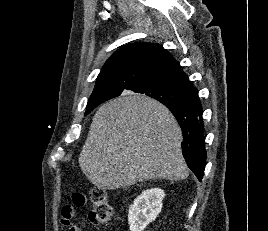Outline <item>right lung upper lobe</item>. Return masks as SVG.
I'll list each match as a JSON object with an SVG mask.
<instances>
[{
	"mask_svg": "<svg viewBox=\"0 0 268 231\" xmlns=\"http://www.w3.org/2000/svg\"><path fill=\"white\" fill-rule=\"evenodd\" d=\"M148 80L188 91L194 97L197 93V89L191 87L179 63L167 50L155 43L138 42L117 50L106 61L96 79L88 104L103 103L120 95L101 97L102 91L107 88L129 89L139 82Z\"/></svg>",
	"mask_w": 268,
	"mask_h": 231,
	"instance_id": "right-lung-upper-lobe-1",
	"label": "right lung upper lobe"
}]
</instances>
